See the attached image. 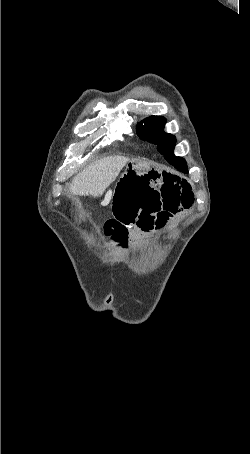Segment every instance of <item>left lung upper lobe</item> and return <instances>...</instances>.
<instances>
[{
	"instance_id": "left-lung-upper-lobe-1",
	"label": "left lung upper lobe",
	"mask_w": 250,
	"mask_h": 454,
	"mask_svg": "<svg viewBox=\"0 0 250 454\" xmlns=\"http://www.w3.org/2000/svg\"><path fill=\"white\" fill-rule=\"evenodd\" d=\"M166 119L161 116H150L137 124V135L157 145L158 151L168 161L177 158L173 154L176 143L174 135L165 133Z\"/></svg>"
}]
</instances>
